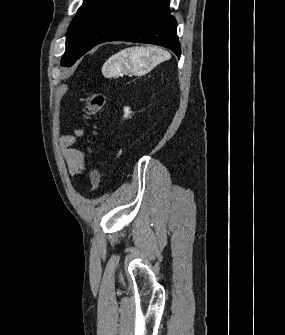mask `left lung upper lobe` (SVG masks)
I'll return each instance as SVG.
<instances>
[{"instance_id":"5c2ea615","label":"left lung upper lobe","mask_w":285,"mask_h":335,"mask_svg":"<svg viewBox=\"0 0 285 335\" xmlns=\"http://www.w3.org/2000/svg\"><path fill=\"white\" fill-rule=\"evenodd\" d=\"M111 0H84L75 19L68 27L66 51L61 59L62 66H71L80 58L81 43L98 14Z\"/></svg>"}]
</instances>
